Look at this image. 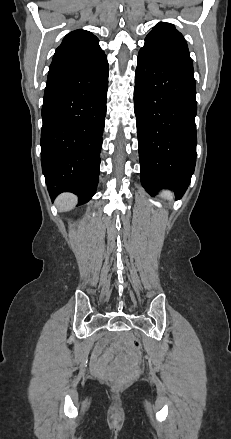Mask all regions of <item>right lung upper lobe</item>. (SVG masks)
I'll return each mask as SVG.
<instances>
[{"label":"right lung upper lobe","mask_w":231,"mask_h":439,"mask_svg":"<svg viewBox=\"0 0 231 439\" xmlns=\"http://www.w3.org/2000/svg\"><path fill=\"white\" fill-rule=\"evenodd\" d=\"M98 41L96 36L82 29L67 34L56 49L47 80L79 73L97 64L106 56Z\"/></svg>","instance_id":"cb5924a9"}]
</instances>
